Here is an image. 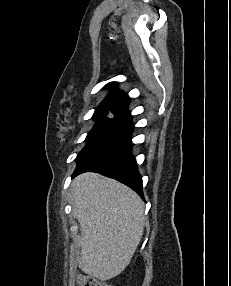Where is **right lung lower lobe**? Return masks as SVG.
<instances>
[{
    "label": "right lung lower lobe",
    "instance_id": "obj_1",
    "mask_svg": "<svg viewBox=\"0 0 231 286\" xmlns=\"http://www.w3.org/2000/svg\"><path fill=\"white\" fill-rule=\"evenodd\" d=\"M132 128L131 121L127 122L90 150L77 161L73 177L87 171L98 172L122 182L143 197L142 178L131 155Z\"/></svg>",
    "mask_w": 231,
    "mask_h": 286
}]
</instances>
